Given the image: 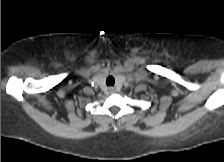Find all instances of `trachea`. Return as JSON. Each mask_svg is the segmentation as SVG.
I'll return each mask as SVG.
<instances>
[{"label": "trachea", "instance_id": "1", "mask_svg": "<svg viewBox=\"0 0 224 162\" xmlns=\"http://www.w3.org/2000/svg\"><path fill=\"white\" fill-rule=\"evenodd\" d=\"M106 84L108 86H113L115 84V79L113 76H109L107 79H106Z\"/></svg>", "mask_w": 224, "mask_h": 162}]
</instances>
